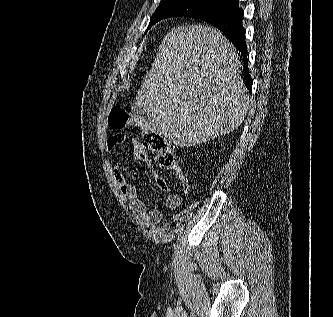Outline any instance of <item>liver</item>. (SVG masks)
<instances>
[{
    "instance_id": "1",
    "label": "liver",
    "mask_w": 333,
    "mask_h": 317,
    "mask_svg": "<svg viewBox=\"0 0 333 317\" xmlns=\"http://www.w3.org/2000/svg\"><path fill=\"white\" fill-rule=\"evenodd\" d=\"M240 67L219 30L176 27L164 37L136 104L173 144L199 145L238 128L251 108Z\"/></svg>"
}]
</instances>
